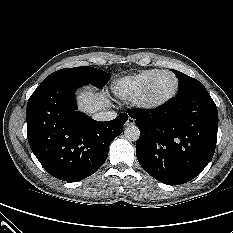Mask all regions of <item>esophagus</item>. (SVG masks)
<instances>
[{
  "label": "esophagus",
  "instance_id": "obj_1",
  "mask_svg": "<svg viewBox=\"0 0 233 233\" xmlns=\"http://www.w3.org/2000/svg\"><path fill=\"white\" fill-rule=\"evenodd\" d=\"M125 124H126V126L134 125L135 120L133 118L129 117Z\"/></svg>",
  "mask_w": 233,
  "mask_h": 233
}]
</instances>
